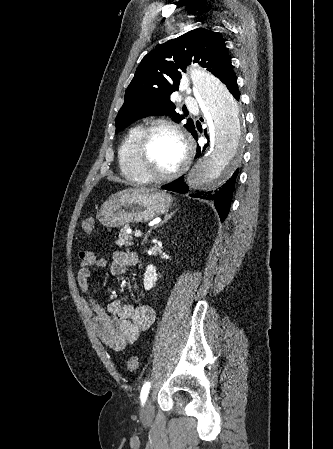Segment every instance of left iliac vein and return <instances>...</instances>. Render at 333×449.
Segmentation results:
<instances>
[{
  "label": "left iliac vein",
  "mask_w": 333,
  "mask_h": 449,
  "mask_svg": "<svg viewBox=\"0 0 333 449\" xmlns=\"http://www.w3.org/2000/svg\"><path fill=\"white\" fill-rule=\"evenodd\" d=\"M154 414V408L151 400L148 399L140 410V418L142 421H151Z\"/></svg>",
  "instance_id": "4c4485c4"
}]
</instances>
